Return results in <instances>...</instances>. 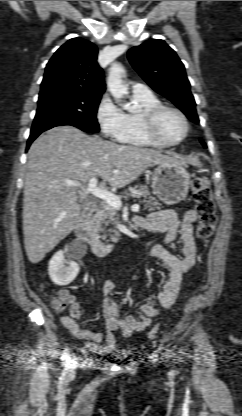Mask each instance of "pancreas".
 <instances>
[{
	"label": "pancreas",
	"instance_id": "obj_1",
	"mask_svg": "<svg viewBox=\"0 0 242 416\" xmlns=\"http://www.w3.org/2000/svg\"><path fill=\"white\" fill-rule=\"evenodd\" d=\"M139 192L140 194H138ZM132 196L134 198L143 197V202L145 203L144 209H148L150 211L155 209H160L161 204L150 195L149 189L146 186H140L139 189H133L129 192L124 193V197ZM121 197V196H120ZM117 209L113 208L111 205L106 203L105 201L101 202L96 213L92 217V225L93 229L97 233H103L100 236L102 239H106V227L110 224L115 225L118 223L119 218L116 217ZM110 233L114 232L113 229L108 230Z\"/></svg>",
	"mask_w": 242,
	"mask_h": 416
}]
</instances>
